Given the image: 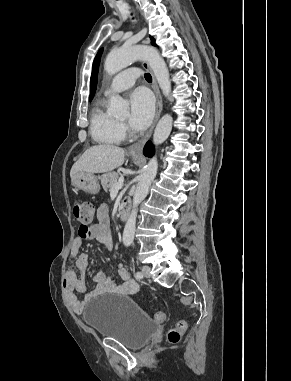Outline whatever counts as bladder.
Returning <instances> with one entry per match:
<instances>
[{"label": "bladder", "mask_w": 291, "mask_h": 381, "mask_svg": "<svg viewBox=\"0 0 291 381\" xmlns=\"http://www.w3.org/2000/svg\"><path fill=\"white\" fill-rule=\"evenodd\" d=\"M84 319L98 335L130 349L143 347L157 330V324L129 296H99L85 311Z\"/></svg>", "instance_id": "bladder-1"}]
</instances>
